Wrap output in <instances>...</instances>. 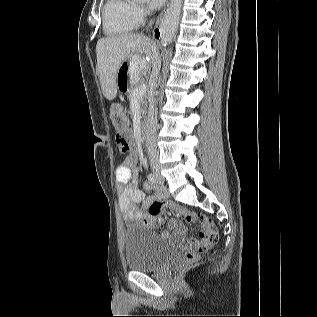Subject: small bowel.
<instances>
[{
    "label": "small bowel",
    "mask_w": 317,
    "mask_h": 317,
    "mask_svg": "<svg viewBox=\"0 0 317 317\" xmlns=\"http://www.w3.org/2000/svg\"><path fill=\"white\" fill-rule=\"evenodd\" d=\"M116 182L119 194V207L122 217L127 224H142L149 228H155L162 223L159 217L151 216L147 209L153 201L152 197L145 195L138 188V178L133 170L132 163L129 161L120 164L116 170ZM144 189H152L150 183L143 184ZM166 196V191L158 188L155 193L156 199H162ZM186 217L189 221H197L201 224L202 229L212 226L211 223L192 212H187ZM170 227L173 228L180 236H184L186 231L181 222L172 219ZM164 237H169L170 233L164 231Z\"/></svg>",
    "instance_id": "1"
}]
</instances>
